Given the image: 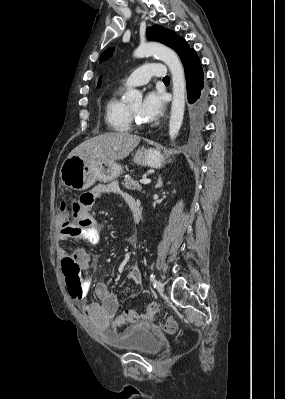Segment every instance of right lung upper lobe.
Masks as SVG:
<instances>
[{"mask_svg":"<svg viewBox=\"0 0 285 399\" xmlns=\"http://www.w3.org/2000/svg\"><path fill=\"white\" fill-rule=\"evenodd\" d=\"M100 84H101V78H100V79H99V81H98L97 88H99V87H100Z\"/></svg>","mask_w":285,"mask_h":399,"instance_id":"1","label":"right lung upper lobe"}]
</instances>
